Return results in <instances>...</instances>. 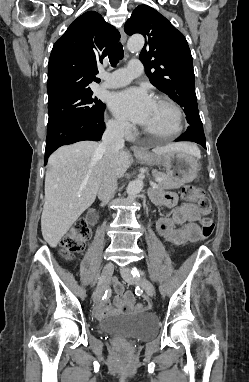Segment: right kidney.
<instances>
[{"label":"right kidney","mask_w":249,"mask_h":382,"mask_svg":"<svg viewBox=\"0 0 249 382\" xmlns=\"http://www.w3.org/2000/svg\"><path fill=\"white\" fill-rule=\"evenodd\" d=\"M87 219L89 220V223L91 224L90 225V228L91 229H94L95 228V225L94 224H97L98 223V211L96 210V208H91V210L89 211V213L87 214Z\"/></svg>","instance_id":"right-kidney-1"}]
</instances>
